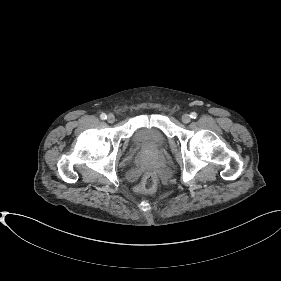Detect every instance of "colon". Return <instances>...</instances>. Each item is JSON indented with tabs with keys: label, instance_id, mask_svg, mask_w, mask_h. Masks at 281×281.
I'll use <instances>...</instances> for the list:
<instances>
[{
	"label": "colon",
	"instance_id": "1",
	"mask_svg": "<svg viewBox=\"0 0 281 281\" xmlns=\"http://www.w3.org/2000/svg\"><path fill=\"white\" fill-rule=\"evenodd\" d=\"M157 178L153 171H148L144 174L141 183L134 188V192L137 194H146L154 190L156 186Z\"/></svg>",
	"mask_w": 281,
	"mask_h": 281
}]
</instances>
